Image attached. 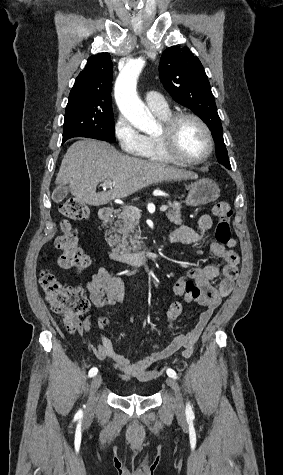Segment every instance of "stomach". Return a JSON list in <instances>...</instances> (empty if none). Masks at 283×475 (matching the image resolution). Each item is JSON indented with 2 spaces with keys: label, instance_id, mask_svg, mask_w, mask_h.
I'll use <instances>...</instances> for the list:
<instances>
[{
  "label": "stomach",
  "instance_id": "obj_1",
  "mask_svg": "<svg viewBox=\"0 0 283 475\" xmlns=\"http://www.w3.org/2000/svg\"><path fill=\"white\" fill-rule=\"evenodd\" d=\"M219 196V186L213 180H197L190 186L186 204L187 206H203V204L215 202Z\"/></svg>",
  "mask_w": 283,
  "mask_h": 475
}]
</instances>
